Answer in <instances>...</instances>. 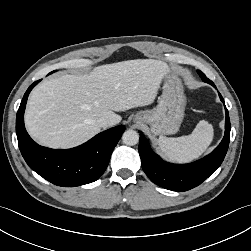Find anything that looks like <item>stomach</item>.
Segmentation results:
<instances>
[{
    "mask_svg": "<svg viewBox=\"0 0 251 251\" xmlns=\"http://www.w3.org/2000/svg\"><path fill=\"white\" fill-rule=\"evenodd\" d=\"M158 105L138 112L134 119L150 125L153 136L175 134L183 121L186 106L184 87L178 75L167 69Z\"/></svg>",
    "mask_w": 251,
    "mask_h": 251,
    "instance_id": "1",
    "label": "stomach"
}]
</instances>
